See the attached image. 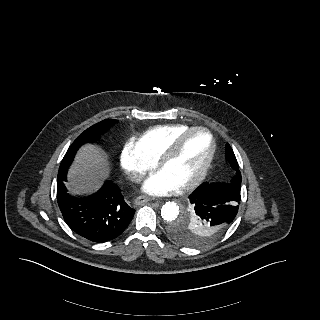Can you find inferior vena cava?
Returning <instances> with one entry per match:
<instances>
[{"mask_svg":"<svg viewBox=\"0 0 320 320\" xmlns=\"http://www.w3.org/2000/svg\"><path fill=\"white\" fill-rule=\"evenodd\" d=\"M142 178L143 176L140 173H132L129 175V179L134 182H139L142 180Z\"/></svg>","mask_w":320,"mask_h":320,"instance_id":"602c4592","label":"inferior vena cava"}]
</instances>
